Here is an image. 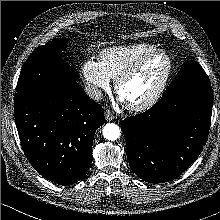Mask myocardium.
Returning a JSON list of instances; mask_svg holds the SVG:
<instances>
[{
  "label": "myocardium",
  "mask_w": 220,
  "mask_h": 220,
  "mask_svg": "<svg viewBox=\"0 0 220 220\" xmlns=\"http://www.w3.org/2000/svg\"><path fill=\"white\" fill-rule=\"evenodd\" d=\"M156 55H164L168 60V69L165 73L161 83L158 85V87L154 90V92L147 97L145 100L140 101L138 103L128 104V107L133 111H144L152 106H154L163 96L165 93L169 82L171 80V77L174 72V60L173 58L162 49H155L145 55H143L137 62H135L131 67H129L126 71H124L122 74H120L116 78L115 82V90L118 94H120V89L123 86L125 82L130 80L132 77H134L143 67V65L152 57Z\"/></svg>",
  "instance_id": "obj_1"
}]
</instances>
